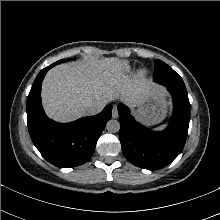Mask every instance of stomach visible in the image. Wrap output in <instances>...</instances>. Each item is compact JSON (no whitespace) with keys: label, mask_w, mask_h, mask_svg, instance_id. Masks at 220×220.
Returning <instances> with one entry per match:
<instances>
[{"label":"stomach","mask_w":220,"mask_h":220,"mask_svg":"<svg viewBox=\"0 0 220 220\" xmlns=\"http://www.w3.org/2000/svg\"><path fill=\"white\" fill-rule=\"evenodd\" d=\"M167 107L166 95L158 89L137 105L136 116L146 125H155L166 117Z\"/></svg>","instance_id":"stomach-1"}]
</instances>
